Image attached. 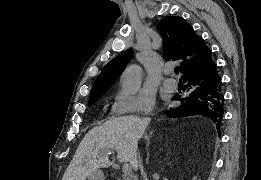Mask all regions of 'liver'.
Returning <instances> with one entry per match:
<instances>
[{"label": "liver", "mask_w": 261, "mask_h": 180, "mask_svg": "<svg viewBox=\"0 0 261 180\" xmlns=\"http://www.w3.org/2000/svg\"><path fill=\"white\" fill-rule=\"evenodd\" d=\"M149 122V118L121 116L89 130L69 166L68 180H86L93 170L111 166L107 156L111 150L118 152L119 162H130L137 170L138 142Z\"/></svg>", "instance_id": "obj_1"}]
</instances>
